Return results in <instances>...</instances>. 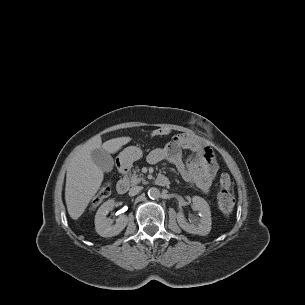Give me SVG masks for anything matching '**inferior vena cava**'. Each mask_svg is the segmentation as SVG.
<instances>
[{"label":"inferior vena cava","mask_w":305,"mask_h":305,"mask_svg":"<svg viewBox=\"0 0 305 305\" xmlns=\"http://www.w3.org/2000/svg\"><path fill=\"white\" fill-rule=\"evenodd\" d=\"M142 190V187L141 186H135V187H132L130 190H129V195L130 196H135L137 194H139Z\"/></svg>","instance_id":"obj_1"}]
</instances>
